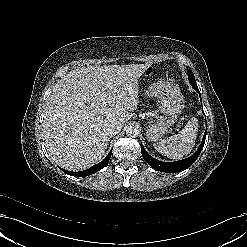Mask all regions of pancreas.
<instances>
[{"instance_id":"cf45deb5","label":"pancreas","mask_w":247,"mask_h":247,"mask_svg":"<svg viewBox=\"0 0 247 247\" xmlns=\"http://www.w3.org/2000/svg\"><path fill=\"white\" fill-rule=\"evenodd\" d=\"M152 115H153V114H152L151 112H149V113H148V117H150V118H151V117H152Z\"/></svg>"}]
</instances>
